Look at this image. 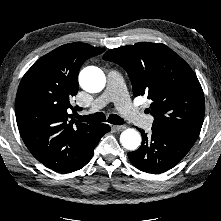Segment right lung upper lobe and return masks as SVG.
<instances>
[{
  "mask_svg": "<svg viewBox=\"0 0 221 221\" xmlns=\"http://www.w3.org/2000/svg\"><path fill=\"white\" fill-rule=\"evenodd\" d=\"M103 48L84 43L62 45L38 59L23 76L16 96L15 113L21 137L32 155L48 168L74 159L78 148L98 124L76 122L69 114L70 99L79 89L81 65Z\"/></svg>",
  "mask_w": 221,
  "mask_h": 221,
  "instance_id": "obj_1",
  "label": "right lung upper lobe"
}]
</instances>
